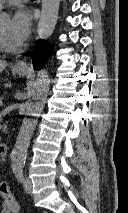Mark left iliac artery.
<instances>
[{"instance_id": "left-iliac-artery-1", "label": "left iliac artery", "mask_w": 128, "mask_h": 213, "mask_svg": "<svg viewBox=\"0 0 128 213\" xmlns=\"http://www.w3.org/2000/svg\"><path fill=\"white\" fill-rule=\"evenodd\" d=\"M15 176L17 177L19 182H23L24 180V176H23V165L19 164V165H15L13 167Z\"/></svg>"}]
</instances>
